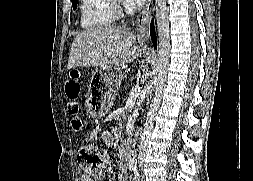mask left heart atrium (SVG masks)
<instances>
[{
    "mask_svg": "<svg viewBox=\"0 0 253 181\" xmlns=\"http://www.w3.org/2000/svg\"><path fill=\"white\" fill-rule=\"evenodd\" d=\"M124 1V5L130 9H137L140 8L145 0H123Z\"/></svg>",
    "mask_w": 253,
    "mask_h": 181,
    "instance_id": "39dd6f15",
    "label": "left heart atrium"
}]
</instances>
